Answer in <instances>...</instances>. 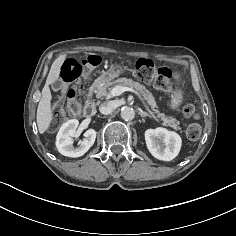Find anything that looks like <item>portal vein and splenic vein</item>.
<instances>
[{
	"mask_svg": "<svg viewBox=\"0 0 236 236\" xmlns=\"http://www.w3.org/2000/svg\"><path fill=\"white\" fill-rule=\"evenodd\" d=\"M125 91H130L135 93L139 99L142 101L143 105L145 106L146 110L151 114V116L157 120L156 116L154 115V113L149 109L148 105L145 103L144 99L142 98V96L140 95L139 92H137L136 90H134L133 88L130 87H123V86H116L111 90V95L112 96H119L121 95L123 92Z\"/></svg>",
	"mask_w": 236,
	"mask_h": 236,
	"instance_id": "obj_1",
	"label": "portal vein and splenic vein"
}]
</instances>
